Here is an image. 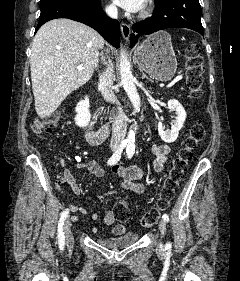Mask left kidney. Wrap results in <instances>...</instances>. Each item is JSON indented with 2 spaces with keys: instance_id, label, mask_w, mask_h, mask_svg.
Instances as JSON below:
<instances>
[{
  "instance_id": "1",
  "label": "left kidney",
  "mask_w": 240,
  "mask_h": 281,
  "mask_svg": "<svg viewBox=\"0 0 240 281\" xmlns=\"http://www.w3.org/2000/svg\"><path fill=\"white\" fill-rule=\"evenodd\" d=\"M168 108L172 111H175L177 116L174 120L171 130H165L162 122H159L158 132L164 142L172 143L178 138L179 130H181V128L183 127L187 114L183 106L175 99H171L168 101Z\"/></svg>"
}]
</instances>
